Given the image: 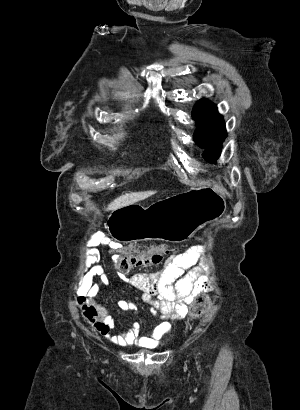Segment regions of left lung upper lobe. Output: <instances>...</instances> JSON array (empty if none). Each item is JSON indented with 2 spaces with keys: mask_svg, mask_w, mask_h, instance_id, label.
Instances as JSON below:
<instances>
[{
  "mask_svg": "<svg viewBox=\"0 0 300 410\" xmlns=\"http://www.w3.org/2000/svg\"><path fill=\"white\" fill-rule=\"evenodd\" d=\"M192 116L198 128L194 133V141L205 148L203 157L214 163L221 153V144L226 138L223 118L219 115L216 105L206 99L199 100L193 108Z\"/></svg>",
  "mask_w": 300,
  "mask_h": 410,
  "instance_id": "1",
  "label": "left lung upper lobe"
}]
</instances>
